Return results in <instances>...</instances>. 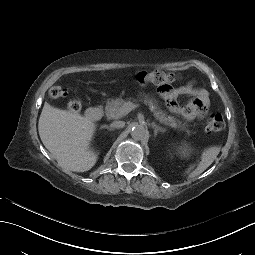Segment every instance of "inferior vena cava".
I'll list each match as a JSON object with an SVG mask.
<instances>
[{
    "instance_id": "inferior-vena-cava-1",
    "label": "inferior vena cava",
    "mask_w": 255,
    "mask_h": 255,
    "mask_svg": "<svg viewBox=\"0 0 255 255\" xmlns=\"http://www.w3.org/2000/svg\"><path fill=\"white\" fill-rule=\"evenodd\" d=\"M112 128H123L125 126L124 121H114L110 125Z\"/></svg>"
}]
</instances>
